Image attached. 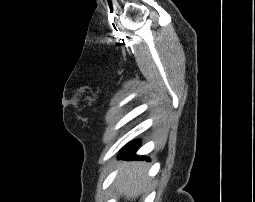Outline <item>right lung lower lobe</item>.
<instances>
[{"mask_svg": "<svg viewBox=\"0 0 255 202\" xmlns=\"http://www.w3.org/2000/svg\"><path fill=\"white\" fill-rule=\"evenodd\" d=\"M138 141H133L130 144L126 145L122 151L120 152V158H139V156H135V151L138 148Z\"/></svg>", "mask_w": 255, "mask_h": 202, "instance_id": "right-lung-lower-lobe-1", "label": "right lung lower lobe"}]
</instances>
